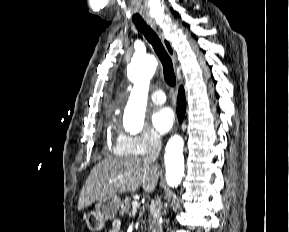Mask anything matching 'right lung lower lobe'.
<instances>
[{
  "instance_id": "1",
  "label": "right lung lower lobe",
  "mask_w": 289,
  "mask_h": 232,
  "mask_svg": "<svg viewBox=\"0 0 289 232\" xmlns=\"http://www.w3.org/2000/svg\"><path fill=\"white\" fill-rule=\"evenodd\" d=\"M185 114V93L183 87L179 88L178 102H177V115L181 122Z\"/></svg>"
}]
</instances>
